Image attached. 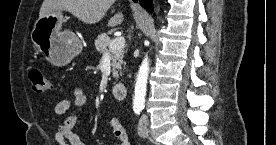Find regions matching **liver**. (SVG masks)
I'll use <instances>...</instances> for the list:
<instances>
[{
	"instance_id": "obj_1",
	"label": "liver",
	"mask_w": 276,
	"mask_h": 145,
	"mask_svg": "<svg viewBox=\"0 0 276 145\" xmlns=\"http://www.w3.org/2000/svg\"><path fill=\"white\" fill-rule=\"evenodd\" d=\"M115 0H44L39 17L48 15L55 10L68 11L80 21L86 24L99 22L106 14ZM123 14H115L108 22V26L114 27L121 24Z\"/></svg>"
}]
</instances>
